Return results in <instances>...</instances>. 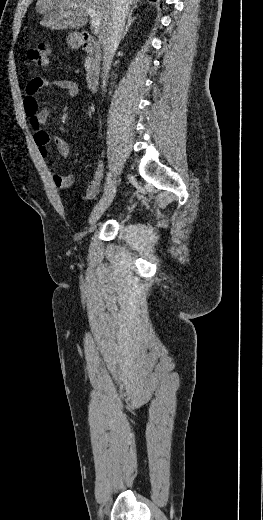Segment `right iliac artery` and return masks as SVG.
Masks as SVG:
<instances>
[{"label":"right iliac artery","instance_id":"right-iliac-artery-1","mask_svg":"<svg viewBox=\"0 0 263 520\" xmlns=\"http://www.w3.org/2000/svg\"><path fill=\"white\" fill-rule=\"evenodd\" d=\"M111 182H112V180H111V173L108 172V173H107V176H106V183H105V187H104V193L107 192V190H108V188H109Z\"/></svg>","mask_w":263,"mask_h":520}]
</instances>
